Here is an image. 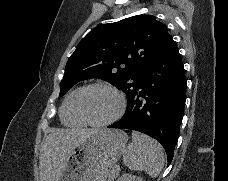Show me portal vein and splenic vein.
Listing matches in <instances>:
<instances>
[{
    "mask_svg": "<svg viewBox=\"0 0 228 181\" xmlns=\"http://www.w3.org/2000/svg\"><path fill=\"white\" fill-rule=\"evenodd\" d=\"M113 167H114L115 169H117L118 172L122 170V167H121V166H118L117 164H115Z\"/></svg>",
    "mask_w": 228,
    "mask_h": 181,
    "instance_id": "1",
    "label": "portal vein and splenic vein"
}]
</instances>
